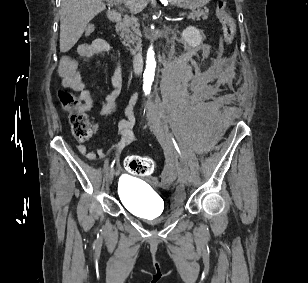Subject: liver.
<instances>
[{
	"instance_id": "6515ba94",
	"label": "liver",
	"mask_w": 308,
	"mask_h": 283,
	"mask_svg": "<svg viewBox=\"0 0 308 283\" xmlns=\"http://www.w3.org/2000/svg\"><path fill=\"white\" fill-rule=\"evenodd\" d=\"M132 11L143 9L148 0H113ZM105 9L102 0H62L60 10V51H69L80 39L87 24Z\"/></svg>"
}]
</instances>
